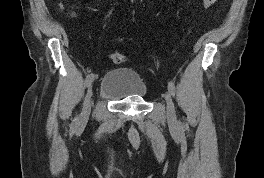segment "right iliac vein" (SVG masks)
Returning a JSON list of instances; mask_svg holds the SVG:
<instances>
[{"instance_id": "right-iliac-vein-1", "label": "right iliac vein", "mask_w": 264, "mask_h": 178, "mask_svg": "<svg viewBox=\"0 0 264 178\" xmlns=\"http://www.w3.org/2000/svg\"><path fill=\"white\" fill-rule=\"evenodd\" d=\"M93 96V88H92V82L88 86V90L84 99L82 112L80 115V124L86 123L91 109V99Z\"/></svg>"}]
</instances>
